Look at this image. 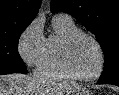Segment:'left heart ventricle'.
<instances>
[{
  "mask_svg": "<svg viewBox=\"0 0 119 95\" xmlns=\"http://www.w3.org/2000/svg\"><path fill=\"white\" fill-rule=\"evenodd\" d=\"M71 63L80 75L95 74L99 68L100 55L94 42L87 37H79L71 49Z\"/></svg>",
  "mask_w": 119,
  "mask_h": 95,
  "instance_id": "1",
  "label": "left heart ventricle"
}]
</instances>
